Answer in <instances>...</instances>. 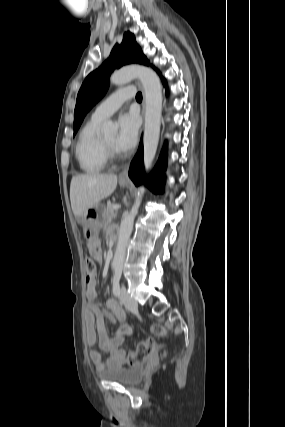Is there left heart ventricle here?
Returning <instances> with one entry per match:
<instances>
[{"label":"left heart ventricle","instance_id":"b2bd125f","mask_svg":"<svg viewBox=\"0 0 285 427\" xmlns=\"http://www.w3.org/2000/svg\"><path fill=\"white\" fill-rule=\"evenodd\" d=\"M104 138L107 141V143H109L111 146H113L114 148H116V138H117L116 134H111V135H108V136H106Z\"/></svg>","mask_w":285,"mask_h":427}]
</instances>
